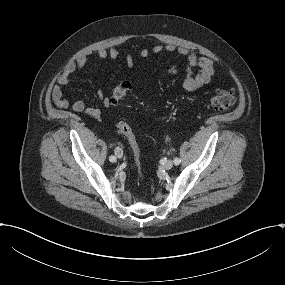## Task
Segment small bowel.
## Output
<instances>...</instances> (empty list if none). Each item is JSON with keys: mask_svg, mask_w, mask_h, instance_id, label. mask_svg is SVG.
Masks as SVG:
<instances>
[{"mask_svg": "<svg viewBox=\"0 0 285 285\" xmlns=\"http://www.w3.org/2000/svg\"><path fill=\"white\" fill-rule=\"evenodd\" d=\"M161 52L175 53L179 57L187 60V75L183 81V86L187 90H196L203 85L210 82L214 75L216 62L208 57H198L196 53L186 47H177L174 44L155 45L151 50L145 48L142 49L138 57L146 58L152 54H159ZM97 55L101 60L116 61L120 55L119 51L115 47L101 48L97 51ZM134 57L130 53L125 55V62L128 66L134 64ZM87 64V56L80 55L74 59L69 60L63 67L62 71L57 76L56 83L51 89V98L55 106L59 108L71 107L75 112L85 113L93 118H99L102 114V109L109 108L112 103L110 97L104 95V93L98 91V99L100 107L87 106L82 100H76L70 103L63 96L62 87L68 85L70 76L78 71L82 70Z\"/></svg>", "mask_w": 285, "mask_h": 285, "instance_id": "1", "label": "small bowel"}]
</instances>
